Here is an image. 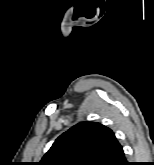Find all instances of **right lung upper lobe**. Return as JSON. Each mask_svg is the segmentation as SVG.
Wrapping results in <instances>:
<instances>
[{"label":"right lung upper lobe","mask_w":154,"mask_h":165,"mask_svg":"<svg viewBox=\"0 0 154 165\" xmlns=\"http://www.w3.org/2000/svg\"><path fill=\"white\" fill-rule=\"evenodd\" d=\"M120 144L111 129L80 122L59 136L39 165H110Z\"/></svg>","instance_id":"right-lung-upper-lobe-1"}]
</instances>
